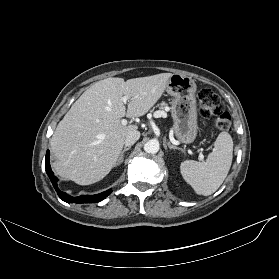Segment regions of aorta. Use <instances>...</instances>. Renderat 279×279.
Segmentation results:
<instances>
[{"instance_id":"1","label":"aorta","mask_w":279,"mask_h":279,"mask_svg":"<svg viewBox=\"0 0 279 279\" xmlns=\"http://www.w3.org/2000/svg\"><path fill=\"white\" fill-rule=\"evenodd\" d=\"M159 148V142L155 139L149 140L144 144V150L149 154L157 153L159 151Z\"/></svg>"}]
</instances>
